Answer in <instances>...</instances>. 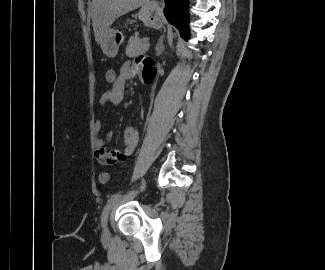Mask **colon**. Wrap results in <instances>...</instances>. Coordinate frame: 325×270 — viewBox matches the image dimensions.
<instances>
[{"label": "colon", "mask_w": 325, "mask_h": 270, "mask_svg": "<svg viewBox=\"0 0 325 270\" xmlns=\"http://www.w3.org/2000/svg\"><path fill=\"white\" fill-rule=\"evenodd\" d=\"M105 81L108 85H111V86H114L115 84H117L118 72L113 68L107 69L105 72ZM109 178H110V176L107 172H102L99 175V181L101 184L108 183Z\"/></svg>", "instance_id": "1"}]
</instances>
